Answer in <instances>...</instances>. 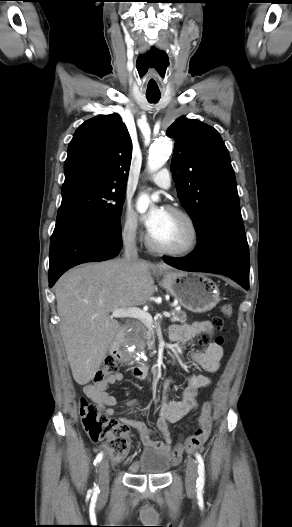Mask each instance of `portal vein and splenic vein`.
Returning <instances> with one entry per match:
<instances>
[{
  "mask_svg": "<svg viewBox=\"0 0 292 527\" xmlns=\"http://www.w3.org/2000/svg\"><path fill=\"white\" fill-rule=\"evenodd\" d=\"M163 316L164 317H171V314L168 313V312H164L163 313ZM111 317H115V318H134V319H138L139 321H141L142 323H144L146 326H152L154 321H153V318L151 316L150 313L148 312H145L139 308H136V307H130V308H126V309H114L112 311V315ZM161 317V315H160Z\"/></svg>",
  "mask_w": 292,
  "mask_h": 527,
  "instance_id": "1",
  "label": "portal vein and splenic vein"
}]
</instances>
